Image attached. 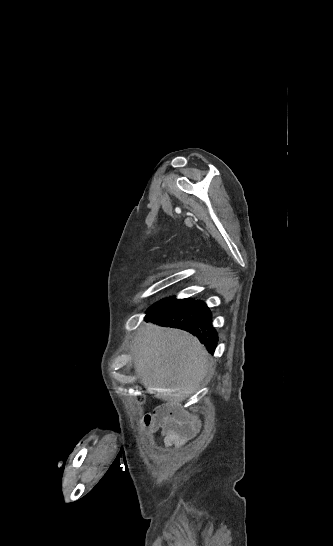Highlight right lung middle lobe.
Masks as SVG:
<instances>
[{
	"label": "right lung middle lobe",
	"instance_id": "right-lung-middle-lobe-1",
	"mask_svg": "<svg viewBox=\"0 0 333 546\" xmlns=\"http://www.w3.org/2000/svg\"><path fill=\"white\" fill-rule=\"evenodd\" d=\"M174 299H175L174 297H170V298H167V299H165V300H162V301H160L159 303L155 304V306L151 307V308L149 309V311L152 310L153 308H155V307L161 305V304H164V303H166V302L174 301Z\"/></svg>",
	"mask_w": 333,
	"mask_h": 546
}]
</instances>
